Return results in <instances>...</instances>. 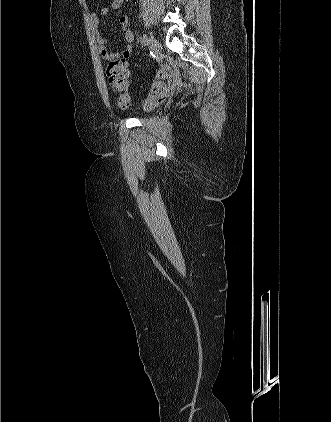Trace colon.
I'll list each match as a JSON object with an SVG mask.
<instances>
[{
	"instance_id": "colon-1",
	"label": "colon",
	"mask_w": 331,
	"mask_h": 422,
	"mask_svg": "<svg viewBox=\"0 0 331 422\" xmlns=\"http://www.w3.org/2000/svg\"><path fill=\"white\" fill-rule=\"evenodd\" d=\"M106 76L110 87L119 94L118 105L121 108H127L131 104V98L128 94L129 73L127 63L122 59H114L107 63ZM168 71L160 67L157 71V80L153 83L151 93L147 101L143 103L145 109L154 107L162 103L166 97Z\"/></svg>"
}]
</instances>
